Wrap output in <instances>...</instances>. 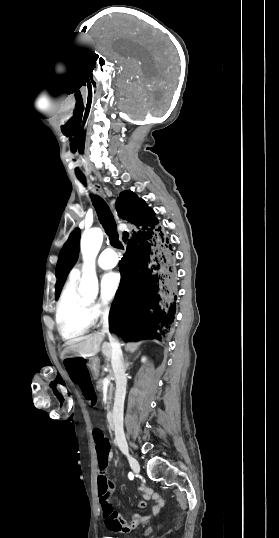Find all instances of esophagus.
I'll list each match as a JSON object with an SVG mask.
<instances>
[{
	"label": "esophagus",
	"mask_w": 279,
	"mask_h": 538,
	"mask_svg": "<svg viewBox=\"0 0 279 538\" xmlns=\"http://www.w3.org/2000/svg\"><path fill=\"white\" fill-rule=\"evenodd\" d=\"M111 209L113 211L114 217L116 221H119L118 215L116 213L115 207H114V201L111 202Z\"/></svg>",
	"instance_id": "esophagus-1"
}]
</instances>
